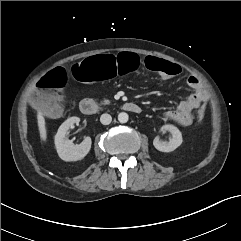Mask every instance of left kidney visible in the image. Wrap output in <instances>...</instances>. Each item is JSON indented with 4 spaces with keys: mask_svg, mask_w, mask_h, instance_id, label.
Segmentation results:
<instances>
[{
    "mask_svg": "<svg viewBox=\"0 0 241 241\" xmlns=\"http://www.w3.org/2000/svg\"><path fill=\"white\" fill-rule=\"evenodd\" d=\"M161 131L163 133L167 131L170 132L172 134V138L166 142L160 140V138L156 136L153 140V145L157 150L161 152H172L182 144V134L176 126L171 124L163 125L161 127Z\"/></svg>",
    "mask_w": 241,
    "mask_h": 241,
    "instance_id": "left-kidney-1",
    "label": "left kidney"
}]
</instances>
